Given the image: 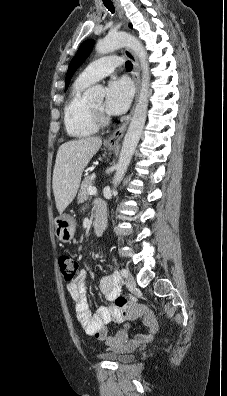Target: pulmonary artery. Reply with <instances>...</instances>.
I'll return each mask as SVG.
<instances>
[{"label":"pulmonary artery","mask_w":227,"mask_h":396,"mask_svg":"<svg viewBox=\"0 0 227 396\" xmlns=\"http://www.w3.org/2000/svg\"><path fill=\"white\" fill-rule=\"evenodd\" d=\"M122 63V59L117 56H106L90 63L79 75L85 82L93 83L111 74Z\"/></svg>","instance_id":"e3ab8cb5"}]
</instances>
